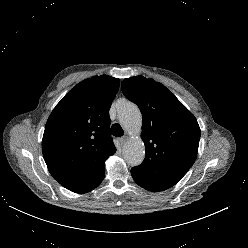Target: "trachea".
Instances as JSON below:
<instances>
[{"instance_id":"obj_1","label":"trachea","mask_w":248,"mask_h":248,"mask_svg":"<svg viewBox=\"0 0 248 248\" xmlns=\"http://www.w3.org/2000/svg\"><path fill=\"white\" fill-rule=\"evenodd\" d=\"M111 134L116 137H121L124 135V131L118 123H115L111 126Z\"/></svg>"}]
</instances>
